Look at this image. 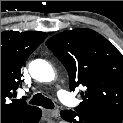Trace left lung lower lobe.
Listing matches in <instances>:
<instances>
[{
  "instance_id": "1",
  "label": "left lung lower lobe",
  "mask_w": 123,
  "mask_h": 123,
  "mask_svg": "<svg viewBox=\"0 0 123 123\" xmlns=\"http://www.w3.org/2000/svg\"><path fill=\"white\" fill-rule=\"evenodd\" d=\"M61 117L71 123H121L117 117L96 110L61 111Z\"/></svg>"
}]
</instances>
